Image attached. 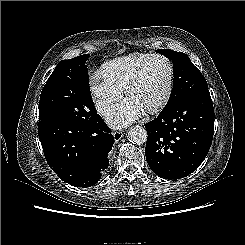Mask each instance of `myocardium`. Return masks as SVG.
<instances>
[{"label":"myocardium","instance_id":"1","mask_svg":"<svg viewBox=\"0 0 245 245\" xmlns=\"http://www.w3.org/2000/svg\"><path fill=\"white\" fill-rule=\"evenodd\" d=\"M156 58L162 59L166 62L167 67H168V81H167L166 89H165L162 97L160 98V100L155 105L151 106L150 108H148L146 110V112H148L150 114H154V113L161 111L165 107V105L167 104V102H168V100L172 94L173 85H174V68H173V64H172L171 60L163 54H159V53L150 54L141 63V65L138 67V69L136 70V72L134 73V75L131 77V79L128 81V83L126 84V86L124 88L125 96H128L131 89L133 87H135L138 84V82L141 80L142 75H143L148 63L152 59H156Z\"/></svg>","mask_w":245,"mask_h":245}]
</instances>
